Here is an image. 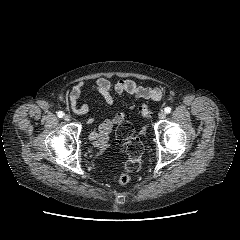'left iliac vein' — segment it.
I'll list each match as a JSON object with an SVG mask.
<instances>
[{
	"instance_id": "4c4485c4",
	"label": "left iliac vein",
	"mask_w": 240,
	"mask_h": 240,
	"mask_svg": "<svg viewBox=\"0 0 240 240\" xmlns=\"http://www.w3.org/2000/svg\"><path fill=\"white\" fill-rule=\"evenodd\" d=\"M159 119H164L166 117V113L164 111H161L159 112V115H158Z\"/></svg>"
}]
</instances>
